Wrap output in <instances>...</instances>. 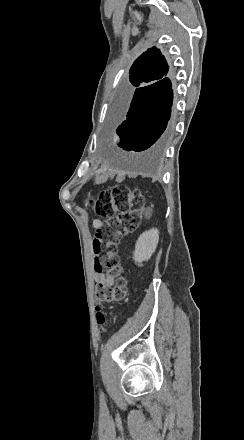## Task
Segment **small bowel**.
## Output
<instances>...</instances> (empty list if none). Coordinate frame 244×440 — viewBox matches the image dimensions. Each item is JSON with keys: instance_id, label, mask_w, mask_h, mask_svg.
<instances>
[{"instance_id": "c3829d8e", "label": "small bowel", "mask_w": 244, "mask_h": 440, "mask_svg": "<svg viewBox=\"0 0 244 440\" xmlns=\"http://www.w3.org/2000/svg\"><path fill=\"white\" fill-rule=\"evenodd\" d=\"M94 229H98L102 226V221L99 219H94L92 222ZM94 280L97 284L112 285L114 283V278L106 275L104 272L97 271L95 269Z\"/></svg>"}]
</instances>
